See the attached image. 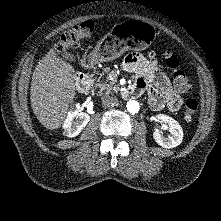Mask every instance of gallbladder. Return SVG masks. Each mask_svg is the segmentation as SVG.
<instances>
[{
	"instance_id": "1",
	"label": "gallbladder",
	"mask_w": 221,
	"mask_h": 221,
	"mask_svg": "<svg viewBox=\"0 0 221 221\" xmlns=\"http://www.w3.org/2000/svg\"><path fill=\"white\" fill-rule=\"evenodd\" d=\"M61 54L62 56L66 59V60H69V61H75V56L74 54L66 51V50H63L61 51Z\"/></svg>"
}]
</instances>
